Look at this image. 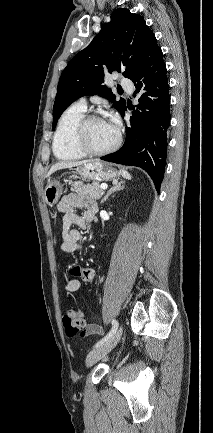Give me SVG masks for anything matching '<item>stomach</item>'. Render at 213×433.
Listing matches in <instances>:
<instances>
[{
  "mask_svg": "<svg viewBox=\"0 0 213 433\" xmlns=\"http://www.w3.org/2000/svg\"><path fill=\"white\" fill-rule=\"evenodd\" d=\"M76 172L84 179L97 182L113 180L119 176V173L111 165L99 160L84 164L82 167L78 168ZM66 190V180H62L60 177L49 179L44 191L46 203L49 206H53Z\"/></svg>",
  "mask_w": 213,
  "mask_h": 433,
  "instance_id": "1",
  "label": "stomach"
}]
</instances>
